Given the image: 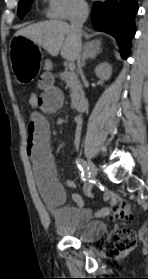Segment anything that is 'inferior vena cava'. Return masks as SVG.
Masks as SVG:
<instances>
[{
	"label": "inferior vena cava",
	"mask_w": 148,
	"mask_h": 279,
	"mask_svg": "<svg viewBox=\"0 0 148 279\" xmlns=\"http://www.w3.org/2000/svg\"><path fill=\"white\" fill-rule=\"evenodd\" d=\"M89 15V8L86 4H81L77 7V10L71 19V31L74 34L75 40H76V59H77V65L78 69L81 72V35H82V27L83 24L86 22L87 17ZM82 78L84 79L83 75Z\"/></svg>",
	"instance_id": "inferior-vena-cava-1"
}]
</instances>
